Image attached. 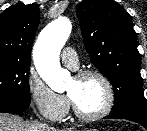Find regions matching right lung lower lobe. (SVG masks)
I'll use <instances>...</instances> for the list:
<instances>
[{
    "instance_id": "1",
    "label": "right lung lower lobe",
    "mask_w": 147,
    "mask_h": 131,
    "mask_svg": "<svg viewBox=\"0 0 147 131\" xmlns=\"http://www.w3.org/2000/svg\"><path fill=\"white\" fill-rule=\"evenodd\" d=\"M29 105L18 104L9 100H0V113H21L27 110Z\"/></svg>"
}]
</instances>
